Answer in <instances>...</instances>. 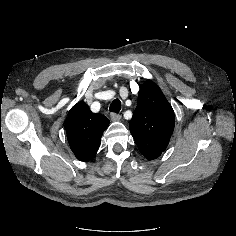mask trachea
Masks as SVG:
<instances>
[{
  "mask_svg": "<svg viewBox=\"0 0 236 236\" xmlns=\"http://www.w3.org/2000/svg\"><path fill=\"white\" fill-rule=\"evenodd\" d=\"M121 110V102L119 99H115L110 107H109V111L111 112H115V113H118L119 111Z\"/></svg>",
  "mask_w": 236,
  "mask_h": 236,
  "instance_id": "3493384b",
  "label": "trachea"
}]
</instances>
